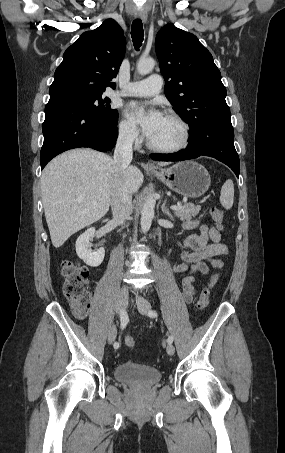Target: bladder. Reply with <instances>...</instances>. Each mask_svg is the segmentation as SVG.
I'll return each mask as SVG.
<instances>
[{"mask_svg": "<svg viewBox=\"0 0 285 453\" xmlns=\"http://www.w3.org/2000/svg\"><path fill=\"white\" fill-rule=\"evenodd\" d=\"M114 375L117 380L135 386H151L161 379L158 369L131 362L116 366Z\"/></svg>", "mask_w": 285, "mask_h": 453, "instance_id": "bladder-1", "label": "bladder"}]
</instances>
